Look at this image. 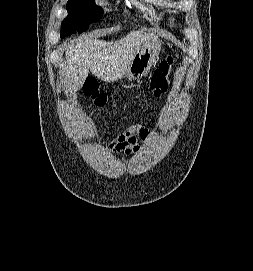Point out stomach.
Wrapping results in <instances>:
<instances>
[{
  "label": "stomach",
  "instance_id": "stomach-1",
  "mask_svg": "<svg viewBox=\"0 0 253 271\" xmlns=\"http://www.w3.org/2000/svg\"><path fill=\"white\" fill-rule=\"evenodd\" d=\"M160 51L161 43L159 40L142 46L125 72V77L132 81L145 76L157 60Z\"/></svg>",
  "mask_w": 253,
  "mask_h": 271
}]
</instances>
